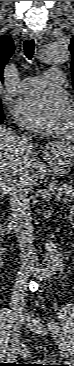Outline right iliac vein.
Returning <instances> with one entry per match:
<instances>
[{
	"label": "right iliac vein",
	"instance_id": "obj_1",
	"mask_svg": "<svg viewBox=\"0 0 74 366\" xmlns=\"http://www.w3.org/2000/svg\"><path fill=\"white\" fill-rule=\"evenodd\" d=\"M23 315L19 311H14L12 313V322H13V329L15 334L17 335L20 329V326L23 322Z\"/></svg>",
	"mask_w": 74,
	"mask_h": 366
}]
</instances>
